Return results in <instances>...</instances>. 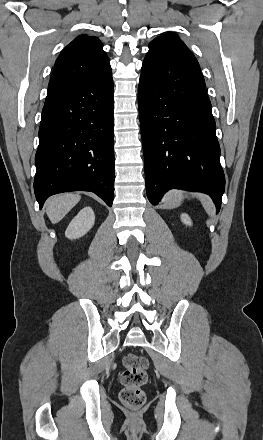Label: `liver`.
Returning <instances> with one entry per match:
<instances>
[{"label": "liver", "instance_id": "6515ba94", "mask_svg": "<svg viewBox=\"0 0 263 440\" xmlns=\"http://www.w3.org/2000/svg\"><path fill=\"white\" fill-rule=\"evenodd\" d=\"M80 199V195L73 193H65L51 199L46 207V213L51 223H58Z\"/></svg>", "mask_w": 263, "mask_h": 440}]
</instances>
